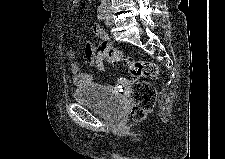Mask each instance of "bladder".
<instances>
[{
	"label": "bladder",
	"mask_w": 225,
	"mask_h": 159,
	"mask_svg": "<svg viewBox=\"0 0 225 159\" xmlns=\"http://www.w3.org/2000/svg\"><path fill=\"white\" fill-rule=\"evenodd\" d=\"M74 99L108 120H116L122 115L121 98L103 84L89 83L76 89Z\"/></svg>",
	"instance_id": "obj_1"
}]
</instances>
